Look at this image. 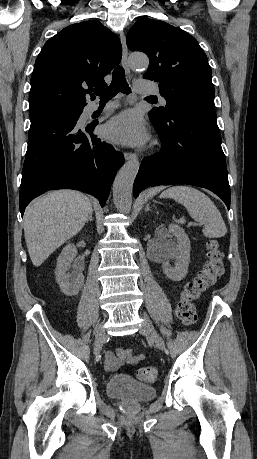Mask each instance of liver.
Instances as JSON below:
<instances>
[{"mask_svg":"<svg viewBox=\"0 0 257 459\" xmlns=\"http://www.w3.org/2000/svg\"><path fill=\"white\" fill-rule=\"evenodd\" d=\"M92 204L72 190L49 192L31 204L24 214V235L34 266H40L58 247L84 227Z\"/></svg>","mask_w":257,"mask_h":459,"instance_id":"obj_1","label":"liver"}]
</instances>
